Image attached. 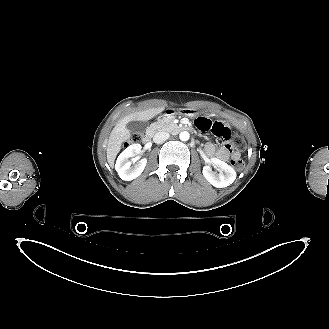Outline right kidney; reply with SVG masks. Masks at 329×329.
<instances>
[{"mask_svg": "<svg viewBox=\"0 0 329 329\" xmlns=\"http://www.w3.org/2000/svg\"><path fill=\"white\" fill-rule=\"evenodd\" d=\"M140 144H132L128 146L117 158L115 169L122 180L131 181L137 178L143 172L147 160L141 159L135 165H132L129 158L134 154H139L141 151Z\"/></svg>", "mask_w": 329, "mask_h": 329, "instance_id": "ca27d5eb", "label": "right kidney"}]
</instances>
